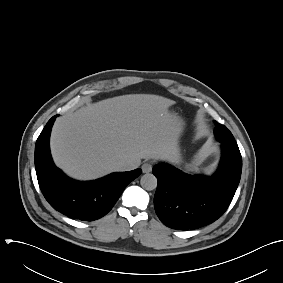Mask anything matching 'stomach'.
I'll use <instances>...</instances> for the list:
<instances>
[{
    "mask_svg": "<svg viewBox=\"0 0 283 283\" xmlns=\"http://www.w3.org/2000/svg\"><path fill=\"white\" fill-rule=\"evenodd\" d=\"M171 115V118L175 124V128L177 129V144H178V141H179V138L180 136L182 135L183 131H184V122L183 120L177 116L176 114L174 113H169Z\"/></svg>",
    "mask_w": 283,
    "mask_h": 283,
    "instance_id": "obj_1",
    "label": "stomach"
}]
</instances>
